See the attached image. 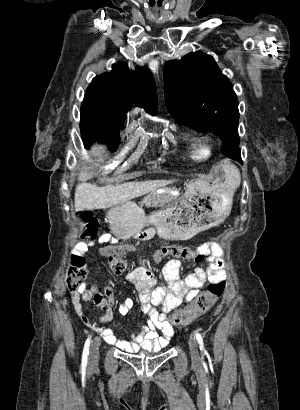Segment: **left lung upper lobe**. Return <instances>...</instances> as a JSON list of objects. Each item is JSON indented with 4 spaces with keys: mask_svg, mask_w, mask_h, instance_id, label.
I'll list each match as a JSON object with an SVG mask.
<instances>
[{
    "mask_svg": "<svg viewBox=\"0 0 300 410\" xmlns=\"http://www.w3.org/2000/svg\"><path fill=\"white\" fill-rule=\"evenodd\" d=\"M165 99L180 124L210 131L223 140L221 152L242 162L238 135V99L212 56L194 52L164 67Z\"/></svg>",
    "mask_w": 300,
    "mask_h": 410,
    "instance_id": "left-lung-upper-lobe-1",
    "label": "left lung upper lobe"
}]
</instances>
